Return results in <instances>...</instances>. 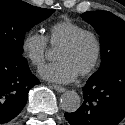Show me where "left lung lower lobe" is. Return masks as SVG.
<instances>
[{
    "label": "left lung lower lobe",
    "instance_id": "left-lung-lower-lobe-1",
    "mask_svg": "<svg viewBox=\"0 0 125 125\" xmlns=\"http://www.w3.org/2000/svg\"><path fill=\"white\" fill-rule=\"evenodd\" d=\"M84 102L65 113L71 125H118L125 117V64L92 75L83 87Z\"/></svg>",
    "mask_w": 125,
    "mask_h": 125
}]
</instances>
